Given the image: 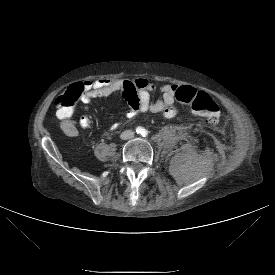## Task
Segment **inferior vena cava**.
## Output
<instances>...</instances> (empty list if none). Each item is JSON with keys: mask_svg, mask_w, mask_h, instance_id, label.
Here are the masks:
<instances>
[{"mask_svg": "<svg viewBox=\"0 0 275 275\" xmlns=\"http://www.w3.org/2000/svg\"><path fill=\"white\" fill-rule=\"evenodd\" d=\"M133 137H134V132L131 131V130H125L121 134V138L124 139V140L131 139Z\"/></svg>", "mask_w": 275, "mask_h": 275, "instance_id": "602c4592", "label": "inferior vena cava"}]
</instances>
